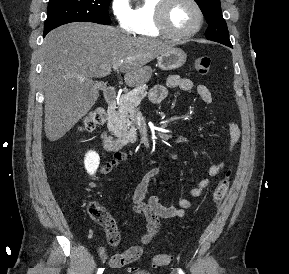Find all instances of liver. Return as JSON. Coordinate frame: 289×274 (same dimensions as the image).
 Returning a JSON list of instances; mask_svg holds the SVG:
<instances>
[{"label":"liver","mask_w":289,"mask_h":274,"mask_svg":"<svg viewBox=\"0 0 289 274\" xmlns=\"http://www.w3.org/2000/svg\"><path fill=\"white\" fill-rule=\"evenodd\" d=\"M173 48L167 42L131 37L112 26L88 22L48 33L42 45L46 137L59 140L90 111L99 97L94 77L109 75L118 64L127 85H142L152 73L146 64Z\"/></svg>","instance_id":"obj_1"}]
</instances>
